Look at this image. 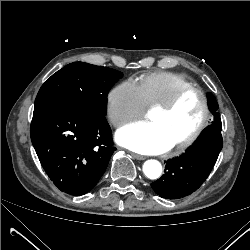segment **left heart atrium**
<instances>
[{"label": "left heart atrium", "instance_id": "left-heart-atrium-1", "mask_svg": "<svg viewBox=\"0 0 250 250\" xmlns=\"http://www.w3.org/2000/svg\"><path fill=\"white\" fill-rule=\"evenodd\" d=\"M116 140L122 146L143 154H160L174 145L154 123L129 124L117 132Z\"/></svg>", "mask_w": 250, "mask_h": 250}]
</instances>
